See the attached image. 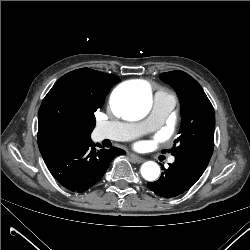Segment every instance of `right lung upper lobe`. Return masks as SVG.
Wrapping results in <instances>:
<instances>
[{
  "instance_id": "right-lung-upper-lobe-1",
  "label": "right lung upper lobe",
  "mask_w": 250,
  "mask_h": 250,
  "mask_svg": "<svg viewBox=\"0 0 250 250\" xmlns=\"http://www.w3.org/2000/svg\"><path fill=\"white\" fill-rule=\"evenodd\" d=\"M119 78L89 68L62 76L45 96L38 113V146L90 137L95 127L92 112L101 108Z\"/></svg>"
}]
</instances>
